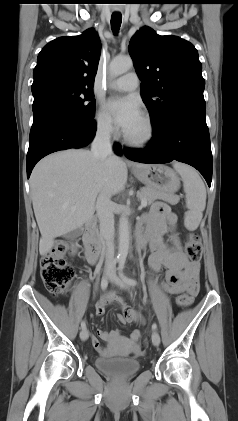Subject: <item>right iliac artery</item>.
Here are the masks:
<instances>
[{
  "mask_svg": "<svg viewBox=\"0 0 238 421\" xmlns=\"http://www.w3.org/2000/svg\"><path fill=\"white\" fill-rule=\"evenodd\" d=\"M116 263H117V260H114V261L111 263L110 268H111V267H113V266H115V265H116ZM107 286H108V279H107V276L105 275V276H103V278H102V280H101V289H102V290H105V289L107 288ZM81 328H82V329H85V328H86V323H85V321H82V322H81Z\"/></svg>",
  "mask_w": 238,
  "mask_h": 421,
  "instance_id": "1",
  "label": "right iliac artery"
}]
</instances>
